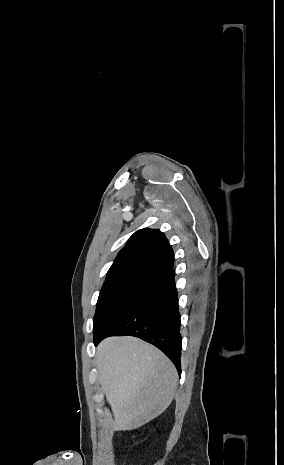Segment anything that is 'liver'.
<instances>
[{
  "label": "liver",
  "instance_id": "liver-1",
  "mask_svg": "<svg viewBox=\"0 0 284 465\" xmlns=\"http://www.w3.org/2000/svg\"><path fill=\"white\" fill-rule=\"evenodd\" d=\"M96 359L99 383L113 411L114 431L138 429L171 405L176 369L153 345L134 337H110L97 347Z\"/></svg>",
  "mask_w": 284,
  "mask_h": 465
}]
</instances>
